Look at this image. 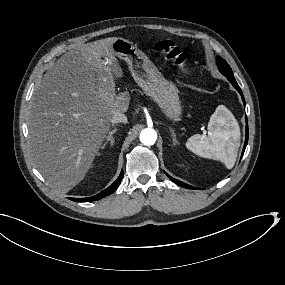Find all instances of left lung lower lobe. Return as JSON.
Listing matches in <instances>:
<instances>
[{
	"mask_svg": "<svg viewBox=\"0 0 285 285\" xmlns=\"http://www.w3.org/2000/svg\"><path fill=\"white\" fill-rule=\"evenodd\" d=\"M229 81L231 82V84L238 90V92L241 94L242 96V99H243V102L245 103V100H244V97H243V94H242V91L240 89V87L238 86L235 78L233 79H229ZM246 122H247V118H246ZM247 142H248V124H246V139H245V144H244V148H243V151H242V156L244 154V151H245V148H246V145H247ZM173 182H175L176 184L182 186V187H185V188H188V189H196L182 181H179L173 177H171L170 175H168L167 173H165Z\"/></svg>",
	"mask_w": 285,
	"mask_h": 285,
	"instance_id": "obj_1",
	"label": "left lung lower lobe"
}]
</instances>
